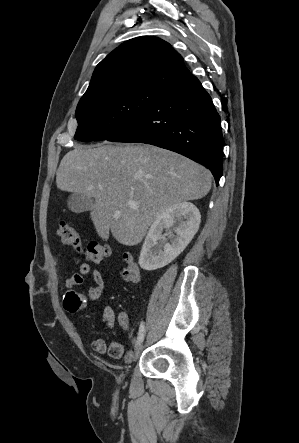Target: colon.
Masks as SVG:
<instances>
[{
    "instance_id": "colon-1",
    "label": "colon",
    "mask_w": 299,
    "mask_h": 443,
    "mask_svg": "<svg viewBox=\"0 0 299 443\" xmlns=\"http://www.w3.org/2000/svg\"><path fill=\"white\" fill-rule=\"evenodd\" d=\"M57 234L61 241L83 255L92 264H100L109 254L110 248L100 242H92L86 248L81 243L76 229L66 221H60ZM125 265L122 269V279L128 283H135L139 279V268L129 253L124 254ZM118 322L123 324V318L118 317Z\"/></svg>"
}]
</instances>
